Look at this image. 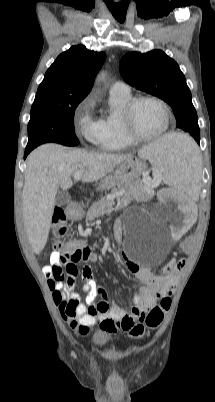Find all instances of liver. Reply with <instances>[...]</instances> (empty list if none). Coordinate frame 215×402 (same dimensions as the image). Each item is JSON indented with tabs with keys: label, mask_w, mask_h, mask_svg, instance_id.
<instances>
[{
	"label": "liver",
	"mask_w": 215,
	"mask_h": 402,
	"mask_svg": "<svg viewBox=\"0 0 215 402\" xmlns=\"http://www.w3.org/2000/svg\"><path fill=\"white\" fill-rule=\"evenodd\" d=\"M129 157L68 150L54 143L41 145L29 154L22 204L24 227L35 254L47 243L59 187L71 188V176L77 171L84 172V183L98 181Z\"/></svg>",
	"instance_id": "liver-1"
}]
</instances>
